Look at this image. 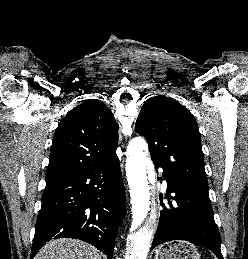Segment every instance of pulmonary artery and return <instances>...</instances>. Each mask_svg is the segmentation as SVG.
Here are the masks:
<instances>
[{
	"instance_id": "pulmonary-artery-1",
	"label": "pulmonary artery",
	"mask_w": 248,
	"mask_h": 259,
	"mask_svg": "<svg viewBox=\"0 0 248 259\" xmlns=\"http://www.w3.org/2000/svg\"><path fill=\"white\" fill-rule=\"evenodd\" d=\"M164 186H166V182H164Z\"/></svg>"
}]
</instances>
